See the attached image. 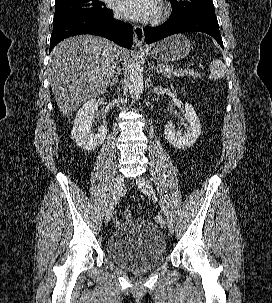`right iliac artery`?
Instances as JSON below:
<instances>
[{"mask_svg":"<svg viewBox=\"0 0 272 303\" xmlns=\"http://www.w3.org/2000/svg\"><path fill=\"white\" fill-rule=\"evenodd\" d=\"M113 201H115L116 200V198L115 197H113V199H112ZM110 209V208H109ZM108 213V212H107Z\"/></svg>","mask_w":272,"mask_h":303,"instance_id":"82829eb1","label":"right iliac artery"}]
</instances>
